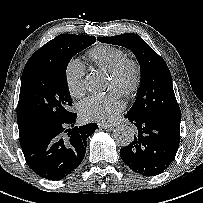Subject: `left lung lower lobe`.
<instances>
[{
  "label": "left lung lower lobe",
  "instance_id": "left-lung-lower-lobe-1",
  "mask_svg": "<svg viewBox=\"0 0 203 203\" xmlns=\"http://www.w3.org/2000/svg\"><path fill=\"white\" fill-rule=\"evenodd\" d=\"M125 117L135 129L132 143L121 148L120 156L134 172L144 176H155L164 172L173 161L180 141L181 117L158 119Z\"/></svg>",
  "mask_w": 203,
  "mask_h": 203
}]
</instances>
